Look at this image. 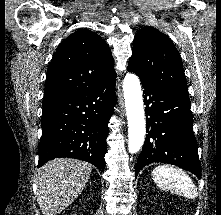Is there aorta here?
Returning a JSON list of instances; mask_svg holds the SVG:
<instances>
[{
  "instance_id": "762f6f07",
  "label": "aorta",
  "mask_w": 221,
  "mask_h": 215,
  "mask_svg": "<svg viewBox=\"0 0 221 215\" xmlns=\"http://www.w3.org/2000/svg\"><path fill=\"white\" fill-rule=\"evenodd\" d=\"M123 91L128 120V150L134 154L142 147L146 134L142 90L135 74L128 73L125 76Z\"/></svg>"
}]
</instances>
